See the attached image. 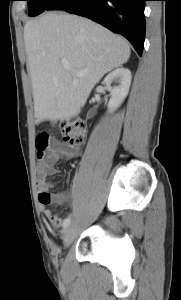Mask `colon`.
<instances>
[{
  "label": "colon",
  "mask_w": 181,
  "mask_h": 300,
  "mask_svg": "<svg viewBox=\"0 0 181 300\" xmlns=\"http://www.w3.org/2000/svg\"><path fill=\"white\" fill-rule=\"evenodd\" d=\"M63 142L68 149L65 151H76L79 149L86 137V126L81 121H64L60 124ZM50 137L40 134L36 139V147L39 151L44 150L50 145Z\"/></svg>",
  "instance_id": "colon-1"
}]
</instances>
